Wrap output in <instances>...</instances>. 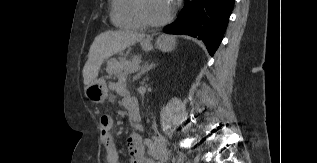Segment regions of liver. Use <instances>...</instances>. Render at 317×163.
Segmentation results:
<instances>
[{"label":"liver","instance_id":"6515ba94","mask_svg":"<svg viewBox=\"0 0 317 163\" xmlns=\"http://www.w3.org/2000/svg\"><path fill=\"white\" fill-rule=\"evenodd\" d=\"M144 37L143 34L122 30L100 33L90 47L88 59L83 68L84 84L89 85L97 78L105 59L142 41Z\"/></svg>","mask_w":317,"mask_h":163}]
</instances>
